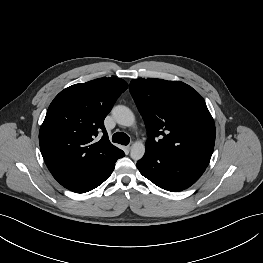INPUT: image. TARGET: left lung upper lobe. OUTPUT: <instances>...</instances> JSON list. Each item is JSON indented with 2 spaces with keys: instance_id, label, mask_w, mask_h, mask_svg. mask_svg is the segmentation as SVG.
<instances>
[{
  "instance_id": "5c2ea615",
  "label": "left lung upper lobe",
  "mask_w": 263,
  "mask_h": 263,
  "mask_svg": "<svg viewBox=\"0 0 263 263\" xmlns=\"http://www.w3.org/2000/svg\"><path fill=\"white\" fill-rule=\"evenodd\" d=\"M129 90L145 121L146 150L208 166L215 124L197 91L180 81L144 78L132 80Z\"/></svg>"
}]
</instances>
